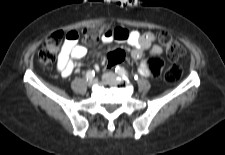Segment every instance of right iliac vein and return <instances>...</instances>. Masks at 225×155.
<instances>
[{
	"label": "right iliac vein",
	"instance_id": "63e3f726",
	"mask_svg": "<svg viewBox=\"0 0 225 155\" xmlns=\"http://www.w3.org/2000/svg\"><path fill=\"white\" fill-rule=\"evenodd\" d=\"M96 82H97V79L92 78V79H90V80L88 81V85H89V86H93L94 84H96Z\"/></svg>",
	"mask_w": 225,
	"mask_h": 155
}]
</instances>
